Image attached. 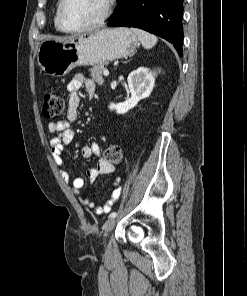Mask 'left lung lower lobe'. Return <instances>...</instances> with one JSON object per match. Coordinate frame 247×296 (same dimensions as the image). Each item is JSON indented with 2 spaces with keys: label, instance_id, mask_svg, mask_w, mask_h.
Returning a JSON list of instances; mask_svg holds the SVG:
<instances>
[{
  "label": "left lung lower lobe",
  "instance_id": "obj_1",
  "mask_svg": "<svg viewBox=\"0 0 247 296\" xmlns=\"http://www.w3.org/2000/svg\"><path fill=\"white\" fill-rule=\"evenodd\" d=\"M184 0H117L108 26L136 27L173 44L182 56Z\"/></svg>",
  "mask_w": 247,
  "mask_h": 296
}]
</instances>
